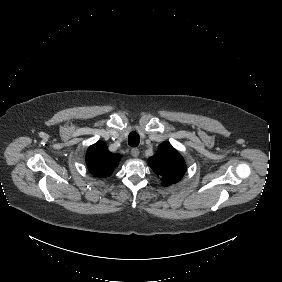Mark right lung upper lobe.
I'll list each match as a JSON object with an SVG mask.
<instances>
[{"mask_svg":"<svg viewBox=\"0 0 282 282\" xmlns=\"http://www.w3.org/2000/svg\"><path fill=\"white\" fill-rule=\"evenodd\" d=\"M120 158V155L112 154L104 142L98 141L88 148L86 164L93 175L105 178L111 175Z\"/></svg>","mask_w":282,"mask_h":282,"instance_id":"obj_1","label":"right lung upper lobe"}]
</instances>
